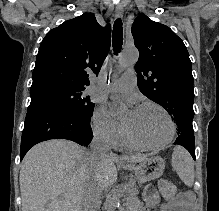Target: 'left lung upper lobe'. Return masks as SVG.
I'll use <instances>...</instances> for the list:
<instances>
[{
  "instance_id": "left-lung-upper-lobe-1",
  "label": "left lung upper lobe",
  "mask_w": 219,
  "mask_h": 211,
  "mask_svg": "<svg viewBox=\"0 0 219 211\" xmlns=\"http://www.w3.org/2000/svg\"><path fill=\"white\" fill-rule=\"evenodd\" d=\"M132 35L139 50V90L167 110L178 125L177 134H193V75L183 41L146 15L135 19Z\"/></svg>"
}]
</instances>
